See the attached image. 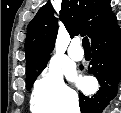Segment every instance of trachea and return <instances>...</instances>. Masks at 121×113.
Here are the masks:
<instances>
[{"label": "trachea", "mask_w": 121, "mask_h": 113, "mask_svg": "<svg viewBox=\"0 0 121 113\" xmlns=\"http://www.w3.org/2000/svg\"><path fill=\"white\" fill-rule=\"evenodd\" d=\"M82 45H83L84 50H90V43L87 37L83 38Z\"/></svg>", "instance_id": "3493384b"}]
</instances>
